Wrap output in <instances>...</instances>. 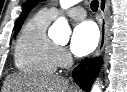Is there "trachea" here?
Listing matches in <instances>:
<instances>
[{
	"instance_id": "3493384b",
	"label": "trachea",
	"mask_w": 127,
	"mask_h": 92,
	"mask_svg": "<svg viewBox=\"0 0 127 92\" xmlns=\"http://www.w3.org/2000/svg\"><path fill=\"white\" fill-rule=\"evenodd\" d=\"M90 7H91L92 11L96 12L99 7V2L97 0H93L90 4Z\"/></svg>"
}]
</instances>
